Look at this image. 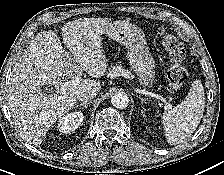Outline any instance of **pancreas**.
<instances>
[{"label": "pancreas", "instance_id": "cf45deb5", "mask_svg": "<svg viewBox=\"0 0 224 175\" xmlns=\"http://www.w3.org/2000/svg\"><path fill=\"white\" fill-rule=\"evenodd\" d=\"M109 72L112 74L122 73L126 78L132 79L133 75L121 65H112L109 69Z\"/></svg>", "mask_w": 224, "mask_h": 175}]
</instances>
